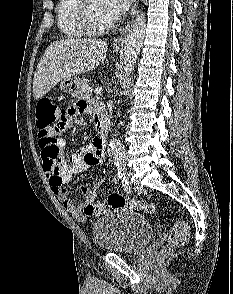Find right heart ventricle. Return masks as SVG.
Instances as JSON below:
<instances>
[{"mask_svg": "<svg viewBox=\"0 0 233 294\" xmlns=\"http://www.w3.org/2000/svg\"><path fill=\"white\" fill-rule=\"evenodd\" d=\"M80 5L81 0H59L57 23L61 33L67 38L81 39L90 35L80 21Z\"/></svg>", "mask_w": 233, "mask_h": 294, "instance_id": "right-heart-ventricle-1", "label": "right heart ventricle"}]
</instances>
